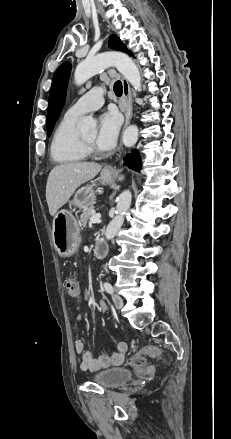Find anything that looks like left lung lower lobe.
Instances as JSON below:
<instances>
[{
  "label": "left lung lower lobe",
  "mask_w": 231,
  "mask_h": 439,
  "mask_svg": "<svg viewBox=\"0 0 231 439\" xmlns=\"http://www.w3.org/2000/svg\"><path fill=\"white\" fill-rule=\"evenodd\" d=\"M124 165L128 166L130 169L139 172L141 167V159L138 151H134L131 154L126 155L124 158Z\"/></svg>",
  "instance_id": "1"
}]
</instances>
